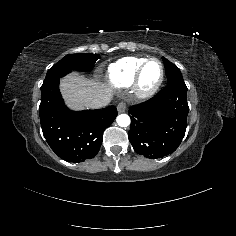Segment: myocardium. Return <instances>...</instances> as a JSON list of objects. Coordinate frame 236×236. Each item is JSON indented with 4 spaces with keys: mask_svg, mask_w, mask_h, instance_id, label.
<instances>
[{
    "mask_svg": "<svg viewBox=\"0 0 236 236\" xmlns=\"http://www.w3.org/2000/svg\"><path fill=\"white\" fill-rule=\"evenodd\" d=\"M152 61H157L161 65L162 75H161L158 83L152 89L144 90L140 86V80H141V77H142V74H143L145 68ZM165 77H166V70H165L164 63L156 57L148 58L141 64V66L139 67V69L137 70V72L135 74V77L132 82L133 93L140 100H148L158 93V91L160 90L161 86L164 83Z\"/></svg>",
    "mask_w": 236,
    "mask_h": 236,
    "instance_id": "f54148a6",
    "label": "myocardium"
}]
</instances>
